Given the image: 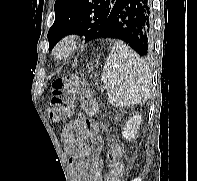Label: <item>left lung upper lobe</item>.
<instances>
[{"label": "left lung upper lobe", "instance_id": "1", "mask_svg": "<svg viewBox=\"0 0 197 181\" xmlns=\"http://www.w3.org/2000/svg\"><path fill=\"white\" fill-rule=\"evenodd\" d=\"M117 0H56L55 21L48 31L49 49L67 34L99 38V32Z\"/></svg>", "mask_w": 197, "mask_h": 181}]
</instances>
